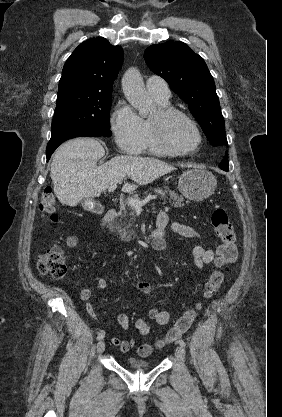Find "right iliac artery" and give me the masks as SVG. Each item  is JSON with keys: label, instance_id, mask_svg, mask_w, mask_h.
<instances>
[{"label": "right iliac artery", "instance_id": "right-iliac-artery-1", "mask_svg": "<svg viewBox=\"0 0 282 417\" xmlns=\"http://www.w3.org/2000/svg\"><path fill=\"white\" fill-rule=\"evenodd\" d=\"M104 336H105V332H104V331H100V332L98 333L97 339H98V340H102V339L104 338Z\"/></svg>", "mask_w": 282, "mask_h": 417}]
</instances>
